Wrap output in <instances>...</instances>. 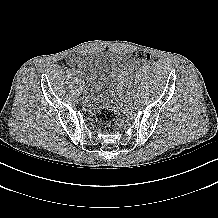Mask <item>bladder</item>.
<instances>
[{"label":"bladder","mask_w":218,"mask_h":218,"mask_svg":"<svg viewBox=\"0 0 218 218\" xmlns=\"http://www.w3.org/2000/svg\"><path fill=\"white\" fill-rule=\"evenodd\" d=\"M83 68L86 95L91 105H109L114 87L125 76L122 59L114 53L83 54L78 57Z\"/></svg>","instance_id":"bladder-1"}]
</instances>
